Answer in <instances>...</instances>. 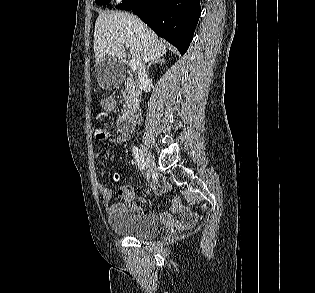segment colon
<instances>
[{
  "label": "colon",
  "mask_w": 315,
  "mask_h": 293,
  "mask_svg": "<svg viewBox=\"0 0 315 293\" xmlns=\"http://www.w3.org/2000/svg\"><path fill=\"white\" fill-rule=\"evenodd\" d=\"M94 137L96 138V140H99V141L105 140L107 138V131L102 127L96 126L94 127ZM122 190H126V189L123 187H120L119 188L120 195H121Z\"/></svg>",
  "instance_id": "5ec220e1"
}]
</instances>
